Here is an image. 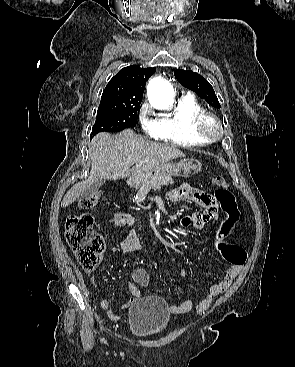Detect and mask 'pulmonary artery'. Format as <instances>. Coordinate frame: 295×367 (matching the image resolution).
Wrapping results in <instances>:
<instances>
[{
  "mask_svg": "<svg viewBox=\"0 0 295 367\" xmlns=\"http://www.w3.org/2000/svg\"><path fill=\"white\" fill-rule=\"evenodd\" d=\"M185 96H189V97H191V94H190V93H187Z\"/></svg>",
  "mask_w": 295,
  "mask_h": 367,
  "instance_id": "pulmonary-artery-1",
  "label": "pulmonary artery"
}]
</instances>
